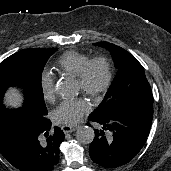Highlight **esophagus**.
<instances>
[{"instance_id":"esophagus-1","label":"esophagus","mask_w":171,"mask_h":171,"mask_svg":"<svg viewBox=\"0 0 171 171\" xmlns=\"http://www.w3.org/2000/svg\"><path fill=\"white\" fill-rule=\"evenodd\" d=\"M61 128L64 133H71L77 129V126L76 125H63Z\"/></svg>"}]
</instances>
